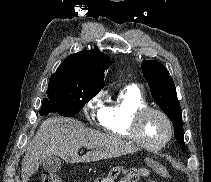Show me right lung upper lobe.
<instances>
[{"instance_id": "right-lung-upper-lobe-1", "label": "right lung upper lobe", "mask_w": 211, "mask_h": 182, "mask_svg": "<svg viewBox=\"0 0 211 182\" xmlns=\"http://www.w3.org/2000/svg\"><path fill=\"white\" fill-rule=\"evenodd\" d=\"M110 65L108 55L98 50H83L68 56L53 75L67 76L75 81L103 88L104 71Z\"/></svg>"}]
</instances>
